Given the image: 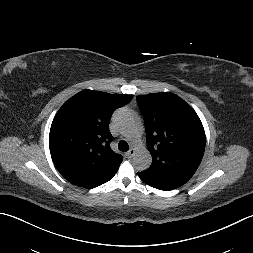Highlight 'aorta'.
I'll use <instances>...</instances> for the list:
<instances>
[{"instance_id":"1","label":"aorta","mask_w":253,"mask_h":253,"mask_svg":"<svg viewBox=\"0 0 253 253\" xmlns=\"http://www.w3.org/2000/svg\"><path fill=\"white\" fill-rule=\"evenodd\" d=\"M116 126L124 133L131 134L135 130V120L132 114L126 110H118L113 117ZM132 142H137L134 136H130ZM134 166L138 171L147 169L152 163V157L146 148H140L133 157Z\"/></svg>"}]
</instances>
